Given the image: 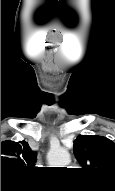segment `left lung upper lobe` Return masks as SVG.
<instances>
[{
    "instance_id": "left-lung-upper-lobe-1",
    "label": "left lung upper lobe",
    "mask_w": 115,
    "mask_h": 191,
    "mask_svg": "<svg viewBox=\"0 0 115 191\" xmlns=\"http://www.w3.org/2000/svg\"><path fill=\"white\" fill-rule=\"evenodd\" d=\"M73 152L82 171L115 188V143L103 136L79 135ZM115 190V189H114Z\"/></svg>"
}]
</instances>
